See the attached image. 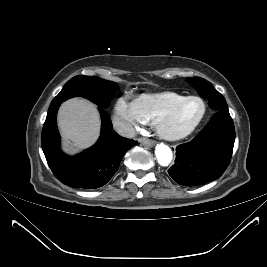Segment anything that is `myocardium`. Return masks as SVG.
<instances>
[{"instance_id": "obj_1", "label": "myocardium", "mask_w": 267, "mask_h": 267, "mask_svg": "<svg viewBox=\"0 0 267 267\" xmlns=\"http://www.w3.org/2000/svg\"><path fill=\"white\" fill-rule=\"evenodd\" d=\"M198 100L202 103L203 109L202 113L199 116V118L187 129L181 131V132H171L166 129L165 124L179 111V109L189 100ZM207 113V105L203 98L195 95L186 96L181 101L176 103L174 106H172L169 110L161 114L156 118L154 121V127L157 131V133L165 140L168 141H178L181 139L186 138L191 133H193L196 128L201 124L203 119L205 118V115Z\"/></svg>"}]
</instances>
